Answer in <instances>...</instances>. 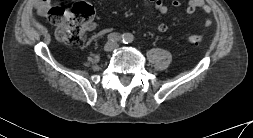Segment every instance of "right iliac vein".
I'll list each match as a JSON object with an SVG mask.
<instances>
[{
	"label": "right iliac vein",
	"instance_id": "1",
	"mask_svg": "<svg viewBox=\"0 0 253 138\" xmlns=\"http://www.w3.org/2000/svg\"><path fill=\"white\" fill-rule=\"evenodd\" d=\"M114 45L112 42H107L105 45H104V51L105 52H109L113 49Z\"/></svg>",
	"mask_w": 253,
	"mask_h": 138
}]
</instances>
